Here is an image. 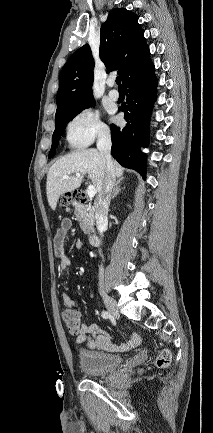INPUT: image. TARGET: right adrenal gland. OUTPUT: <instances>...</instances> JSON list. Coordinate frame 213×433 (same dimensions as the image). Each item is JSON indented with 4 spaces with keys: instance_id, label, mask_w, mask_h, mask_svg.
<instances>
[{
    "instance_id": "1",
    "label": "right adrenal gland",
    "mask_w": 213,
    "mask_h": 433,
    "mask_svg": "<svg viewBox=\"0 0 213 433\" xmlns=\"http://www.w3.org/2000/svg\"><path fill=\"white\" fill-rule=\"evenodd\" d=\"M121 181H122L121 179L117 180V182L114 186L113 192H112L111 199H114L117 196V194L121 191V189H120Z\"/></svg>"
}]
</instances>
